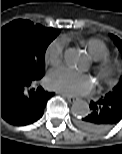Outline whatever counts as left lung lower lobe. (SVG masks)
I'll return each instance as SVG.
<instances>
[{"label": "left lung lower lobe", "mask_w": 122, "mask_h": 154, "mask_svg": "<svg viewBox=\"0 0 122 154\" xmlns=\"http://www.w3.org/2000/svg\"><path fill=\"white\" fill-rule=\"evenodd\" d=\"M122 119V104L111 94L98 101H91L88 115L78 120V126L88 132L100 133L109 130Z\"/></svg>", "instance_id": "obj_1"}]
</instances>
